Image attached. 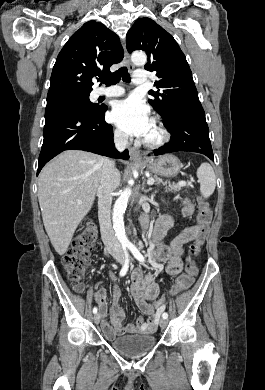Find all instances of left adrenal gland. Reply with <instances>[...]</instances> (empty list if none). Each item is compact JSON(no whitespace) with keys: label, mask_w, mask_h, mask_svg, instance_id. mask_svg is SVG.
<instances>
[{"label":"left adrenal gland","mask_w":265,"mask_h":390,"mask_svg":"<svg viewBox=\"0 0 265 390\" xmlns=\"http://www.w3.org/2000/svg\"><path fill=\"white\" fill-rule=\"evenodd\" d=\"M145 183V182H144ZM144 183H143V187H142V190L146 193V192H148V191H150L151 190V188H149V189H144Z\"/></svg>","instance_id":"left-adrenal-gland-1"}]
</instances>
